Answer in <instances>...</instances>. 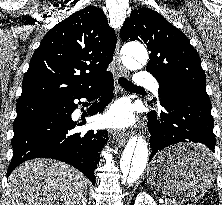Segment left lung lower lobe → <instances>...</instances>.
<instances>
[{"mask_svg":"<svg viewBox=\"0 0 222 205\" xmlns=\"http://www.w3.org/2000/svg\"><path fill=\"white\" fill-rule=\"evenodd\" d=\"M158 92L164 110L148 113L151 133L149 161L157 152L170 145L195 142L207 149L205 152L193 153L188 160L201 165L212 164L211 152H214L216 139L208 95L168 86H159Z\"/></svg>","mask_w":222,"mask_h":205,"instance_id":"left-lung-lower-lobe-1","label":"left lung lower lobe"}]
</instances>
